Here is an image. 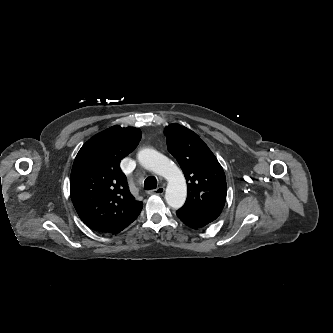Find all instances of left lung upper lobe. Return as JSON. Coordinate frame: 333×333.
Returning a JSON list of instances; mask_svg holds the SVG:
<instances>
[{
  "label": "left lung upper lobe",
  "mask_w": 333,
  "mask_h": 333,
  "mask_svg": "<svg viewBox=\"0 0 333 333\" xmlns=\"http://www.w3.org/2000/svg\"><path fill=\"white\" fill-rule=\"evenodd\" d=\"M164 134L167 149L187 181L188 196L182 207L218 217L226 201L227 185L217 158L196 133L184 126L170 124Z\"/></svg>",
  "instance_id": "obj_1"
}]
</instances>
